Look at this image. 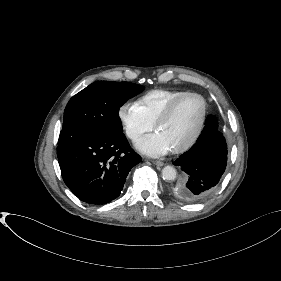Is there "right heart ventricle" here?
Masks as SVG:
<instances>
[{"label":"right heart ventricle","instance_id":"obj_1","mask_svg":"<svg viewBox=\"0 0 281 281\" xmlns=\"http://www.w3.org/2000/svg\"><path fill=\"white\" fill-rule=\"evenodd\" d=\"M186 91L154 89L141 95L137 104L142 109L146 118L153 124L160 112L175 98Z\"/></svg>","mask_w":281,"mask_h":281}]
</instances>
